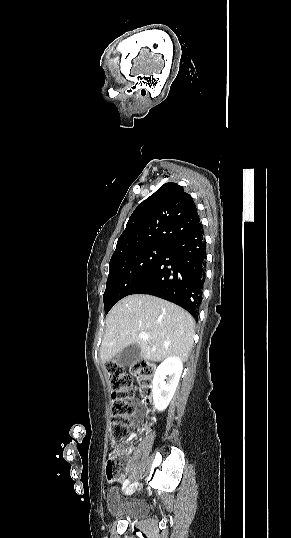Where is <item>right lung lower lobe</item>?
I'll use <instances>...</instances> for the list:
<instances>
[{"instance_id":"right-lung-lower-lobe-1","label":"right lung lower lobe","mask_w":291,"mask_h":538,"mask_svg":"<svg viewBox=\"0 0 291 538\" xmlns=\"http://www.w3.org/2000/svg\"><path fill=\"white\" fill-rule=\"evenodd\" d=\"M203 226L173 243L131 294H150L171 301L195 318L205 280Z\"/></svg>"}]
</instances>
